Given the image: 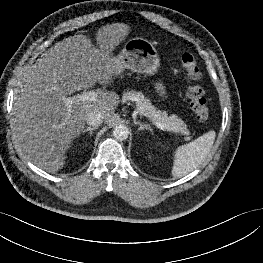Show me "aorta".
Wrapping results in <instances>:
<instances>
[{"label": "aorta", "mask_w": 263, "mask_h": 263, "mask_svg": "<svg viewBox=\"0 0 263 263\" xmlns=\"http://www.w3.org/2000/svg\"><path fill=\"white\" fill-rule=\"evenodd\" d=\"M129 135V130L125 125H117L114 127L113 136L120 141L126 140Z\"/></svg>", "instance_id": "obj_1"}]
</instances>
